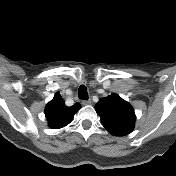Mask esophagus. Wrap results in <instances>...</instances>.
<instances>
[{"label":"esophagus","instance_id":"1","mask_svg":"<svg viewBox=\"0 0 176 176\" xmlns=\"http://www.w3.org/2000/svg\"><path fill=\"white\" fill-rule=\"evenodd\" d=\"M82 104L85 105V106H86V105H90V104H91V100H90V99H88V100H83V101H82Z\"/></svg>","mask_w":176,"mask_h":176}]
</instances>
